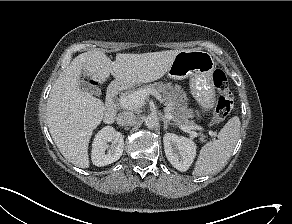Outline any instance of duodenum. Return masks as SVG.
<instances>
[{
  "label": "duodenum",
  "mask_w": 292,
  "mask_h": 224,
  "mask_svg": "<svg viewBox=\"0 0 292 224\" xmlns=\"http://www.w3.org/2000/svg\"><path fill=\"white\" fill-rule=\"evenodd\" d=\"M120 90L121 87L118 86L117 84H112L109 86L106 97V103L108 105L113 101L114 97L119 93Z\"/></svg>",
  "instance_id": "obj_1"
}]
</instances>
